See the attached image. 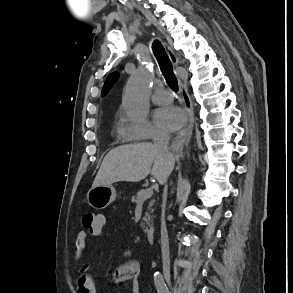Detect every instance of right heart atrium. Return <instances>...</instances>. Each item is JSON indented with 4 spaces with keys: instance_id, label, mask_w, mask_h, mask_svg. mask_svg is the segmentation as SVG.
Listing matches in <instances>:
<instances>
[{
    "instance_id": "1",
    "label": "right heart atrium",
    "mask_w": 293,
    "mask_h": 293,
    "mask_svg": "<svg viewBox=\"0 0 293 293\" xmlns=\"http://www.w3.org/2000/svg\"><path fill=\"white\" fill-rule=\"evenodd\" d=\"M124 122L123 135L129 140L163 138L166 134L148 120L131 121L121 114Z\"/></svg>"
}]
</instances>
